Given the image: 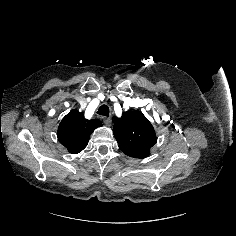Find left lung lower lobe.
<instances>
[{"label":"left lung lower lobe","instance_id":"1","mask_svg":"<svg viewBox=\"0 0 236 236\" xmlns=\"http://www.w3.org/2000/svg\"><path fill=\"white\" fill-rule=\"evenodd\" d=\"M126 155L133 157V158H146L149 156L148 152H138V151H123Z\"/></svg>","mask_w":236,"mask_h":236}]
</instances>
